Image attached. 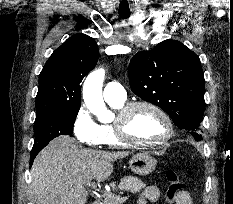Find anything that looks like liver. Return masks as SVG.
I'll use <instances>...</instances> for the list:
<instances>
[{"mask_svg": "<svg viewBox=\"0 0 233 204\" xmlns=\"http://www.w3.org/2000/svg\"><path fill=\"white\" fill-rule=\"evenodd\" d=\"M129 152L81 149L68 135L53 139L35 158L31 189L36 204H85V188L92 180L103 182L113 172V161Z\"/></svg>", "mask_w": 233, "mask_h": 204, "instance_id": "6515ba94", "label": "liver"}]
</instances>
